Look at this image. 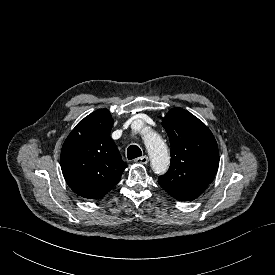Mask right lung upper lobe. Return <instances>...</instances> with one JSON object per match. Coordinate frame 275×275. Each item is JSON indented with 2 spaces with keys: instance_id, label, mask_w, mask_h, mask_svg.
Masks as SVG:
<instances>
[{
  "instance_id": "cb5924a9",
  "label": "right lung upper lobe",
  "mask_w": 275,
  "mask_h": 275,
  "mask_svg": "<svg viewBox=\"0 0 275 275\" xmlns=\"http://www.w3.org/2000/svg\"><path fill=\"white\" fill-rule=\"evenodd\" d=\"M112 126L108 110L94 111L77 124L63 144V176L69 187L84 198L103 197L127 167L110 137Z\"/></svg>"
}]
</instances>
